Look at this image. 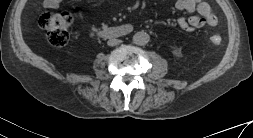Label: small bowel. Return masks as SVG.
<instances>
[{"label": "small bowel", "mask_w": 253, "mask_h": 138, "mask_svg": "<svg viewBox=\"0 0 253 138\" xmlns=\"http://www.w3.org/2000/svg\"><path fill=\"white\" fill-rule=\"evenodd\" d=\"M48 5H53V0H47ZM188 6H194L200 12L203 17L194 16L187 21L184 17L179 19V24L186 30H191L192 25L194 26H203L206 23H211L214 21V16L211 13L209 6L202 0H192V2L187 4Z\"/></svg>", "instance_id": "1"}]
</instances>
